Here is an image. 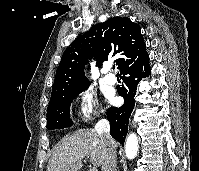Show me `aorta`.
Masks as SVG:
<instances>
[{
	"mask_svg": "<svg viewBox=\"0 0 199 171\" xmlns=\"http://www.w3.org/2000/svg\"><path fill=\"white\" fill-rule=\"evenodd\" d=\"M139 148L138 138L134 133L129 134L126 139L125 152L128 159L136 157Z\"/></svg>",
	"mask_w": 199,
	"mask_h": 171,
	"instance_id": "762f6f07",
	"label": "aorta"
}]
</instances>
